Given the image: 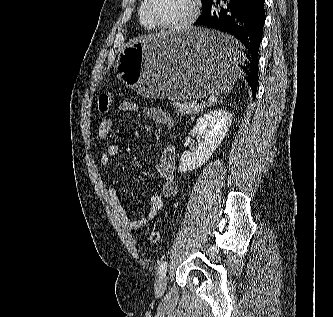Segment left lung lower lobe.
<instances>
[{
  "label": "left lung lower lobe",
  "instance_id": "left-lung-lower-lobe-1",
  "mask_svg": "<svg viewBox=\"0 0 333 317\" xmlns=\"http://www.w3.org/2000/svg\"><path fill=\"white\" fill-rule=\"evenodd\" d=\"M265 0H211L194 25L210 28L236 37L246 48V60L238 66L255 98L258 85V50L265 23ZM236 42L214 47L212 53L236 63L242 58Z\"/></svg>",
  "mask_w": 333,
  "mask_h": 317
}]
</instances>
